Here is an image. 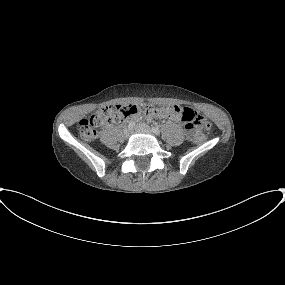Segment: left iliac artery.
<instances>
[{
    "label": "left iliac artery",
    "instance_id": "obj_1",
    "mask_svg": "<svg viewBox=\"0 0 285 285\" xmlns=\"http://www.w3.org/2000/svg\"><path fill=\"white\" fill-rule=\"evenodd\" d=\"M152 131L155 134H160V130L157 127H152Z\"/></svg>",
    "mask_w": 285,
    "mask_h": 285
}]
</instances>
